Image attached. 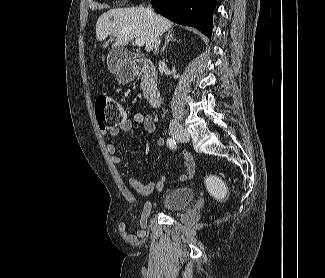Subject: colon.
Listing matches in <instances>:
<instances>
[{"instance_id": "1", "label": "colon", "mask_w": 325, "mask_h": 278, "mask_svg": "<svg viewBox=\"0 0 325 278\" xmlns=\"http://www.w3.org/2000/svg\"><path fill=\"white\" fill-rule=\"evenodd\" d=\"M95 113L98 125L102 130L119 127L126 120V112L123 106L107 95H101L95 101ZM207 188L211 194L223 198L226 193L225 181L216 176L209 175L206 178Z\"/></svg>"}]
</instances>
